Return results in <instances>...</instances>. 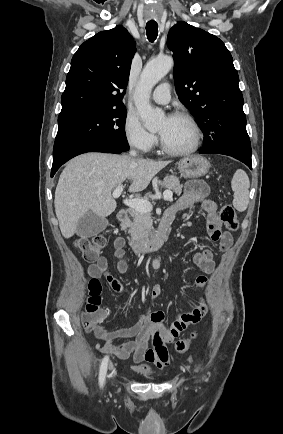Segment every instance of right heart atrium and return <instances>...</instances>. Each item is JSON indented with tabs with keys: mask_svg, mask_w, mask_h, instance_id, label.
<instances>
[{
	"mask_svg": "<svg viewBox=\"0 0 283 434\" xmlns=\"http://www.w3.org/2000/svg\"><path fill=\"white\" fill-rule=\"evenodd\" d=\"M123 131L127 143L140 152H149L157 143L156 136L147 131L140 119L132 113L126 115Z\"/></svg>",
	"mask_w": 283,
	"mask_h": 434,
	"instance_id": "1",
	"label": "right heart atrium"
}]
</instances>
